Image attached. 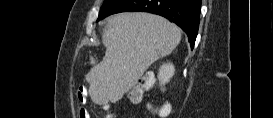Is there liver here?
<instances>
[{"instance_id":"1","label":"liver","mask_w":273,"mask_h":118,"mask_svg":"<svg viewBox=\"0 0 273 118\" xmlns=\"http://www.w3.org/2000/svg\"><path fill=\"white\" fill-rule=\"evenodd\" d=\"M180 40V28L160 16L126 12L111 17L103 35L105 56L86 77L92 101L98 105L118 101Z\"/></svg>"}]
</instances>
